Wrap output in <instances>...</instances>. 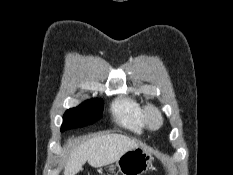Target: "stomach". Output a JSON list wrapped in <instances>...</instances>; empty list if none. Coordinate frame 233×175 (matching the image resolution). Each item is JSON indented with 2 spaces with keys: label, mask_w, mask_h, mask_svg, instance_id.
I'll list each match as a JSON object with an SVG mask.
<instances>
[{
  "label": "stomach",
  "mask_w": 233,
  "mask_h": 175,
  "mask_svg": "<svg viewBox=\"0 0 233 175\" xmlns=\"http://www.w3.org/2000/svg\"><path fill=\"white\" fill-rule=\"evenodd\" d=\"M152 161L151 148L140 145L125 152L116 161L115 165L109 166L108 170L111 173H115L117 167L122 175H142L151 166Z\"/></svg>",
  "instance_id": "obj_1"
}]
</instances>
